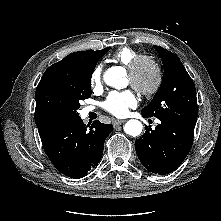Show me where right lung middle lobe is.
<instances>
[{
	"mask_svg": "<svg viewBox=\"0 0 221 221\" xmlns=\"http://www.w3.org/2000/svg\"><path fill=\"white\" fill-rule=\"evenodd\" d=\"M69 73L52 74L40 81L36 89L35 122L39 127L79 117L80 101L91 96V76L97 61Z\"/></svg>",
	"mask_w": 221,
	"mask_h": 221,
	"instance_id": "obj_1",
	"label": "right lung middle lobe"
}]
</instances>
